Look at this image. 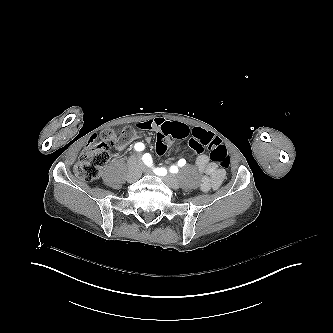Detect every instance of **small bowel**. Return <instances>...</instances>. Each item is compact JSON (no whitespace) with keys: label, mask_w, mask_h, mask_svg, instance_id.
I'll return each instance as SVG.
<instances>
[{"label":"small bowel","mask_w":333,"mask_h":333,"mask_svg":"<svg viewBox=\"0 0 333 333\" xmlns=\"http://www.w3.org/2000/svg\"><path fill=\"white\" fill-rule=\"evenodd\" d=\"M165 123H168V121L161 117L139 122L137 124V130L132 131L133 133L130 140L121 142L117 146V150L124 151L138 142L141 139L138 130L160 131L161 126ZM192 133L193 136H211L208 132L201 129H194ZM150 140V137L145 138L146 142H150ZM196 167L200 173L204 174L200 182V189L203 192L217 189L225 179V172L219 169L214 163L210 162L208 156L205 154H201L196 158Z\"/></svg>","instance_id":"c3829d8e"}]
</instances>
